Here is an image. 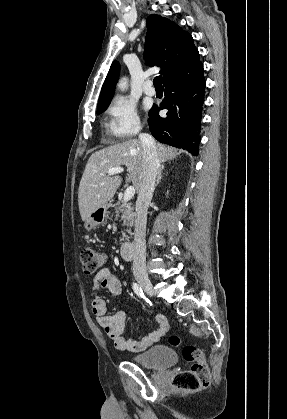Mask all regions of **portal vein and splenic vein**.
Instances as JSON below:
<instances>
[{"mask_svg":"<svg viewBox=\"0 0 287 419\" xmlns=\"http://www.w3.org/2000/svg\"><path fill=\"white\" fill-rule=\"evenodd\" d=\"M122 172H124V169L122 167H115V168L109 169L107 173L109 176H111V175H115ZM134 194H135V188L133 186L127 187L124 193L123 200L129 201L134 196Z\"/></svg>","mask_w":287,"mask_h":419,"instance_id":"18ae733b","label":"portal vein and splenic vein"}]
</instances>
